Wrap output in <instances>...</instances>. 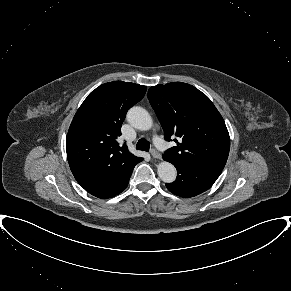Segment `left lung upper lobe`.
<instances>
[{
	"label": "left lung upper lobe",
	"mask_w": 291,
	"mask_h": 291,
	"mask_svg": "<svg viewBox=\"0 0 291 291\" xmlns=\"http://www.w3.org/2000/svg\"><path fill=\"white\" fill-rule=\"evenodd\" d=\"M148 99L170 141L176 146L163 157L180 163L223 169L229 154L230 137L225 122L211 100L183 82L156 85Z\"/></svg>",
	"instance_id": "1"
}]
</instances>
